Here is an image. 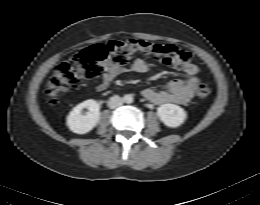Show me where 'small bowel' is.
<instances>
[{
  "instance_id": "obj_1",
  "label": "small bowel",
  "mask_w": 260,
  "mask_h": 205,
  "mask_svg": "<svg viewBox=\"0 0 260 205\" xmlns=\"http://www.w3.org/2000/svg\"><path fill=\"white\" fill-rule=\"evenodd\" d=\"M148 70L149 66L143 59L135 60L130 67L117 65L110 60H106L103 62V72L96 89L106 91L118 76L127 71L142 74ZM183 72L185 78L172 80L166 89L145 88L142 91L143 97L158 105L166 103L188 104L196 92V85L199 81V67L196 64L188 63L183 68Z\"/></svg>"
}]
</instances>
